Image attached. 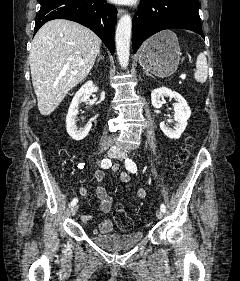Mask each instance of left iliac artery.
Segmentation results:
<instances>
[{
	"mask_svg": "<svg viewBox=\"0 0 240 281\" xmlns=\"http://www.w3.org/2000/svg\"><path fill=\"white\" fill-rule=\"evenodd\" d=\"M125 166L128 171L131 173H136L137 172V166L136 164L129 158L125 159ZM160 209L162 212L166 211V206L164 204H161Z\"/></svg>",
	"mask_w": 240,
	"mask_h": 281,
	"instance_id": "obj_1",
	"label": "left iliac artery"
}]
</instances>
